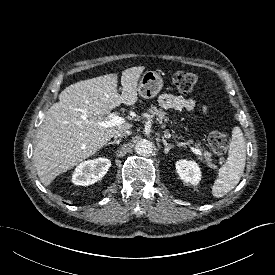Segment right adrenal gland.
<instances>
[{"label": "right adrenal gland", "instance_id": "obj_1", "mask_svg": "<svg viewBox=\"0 0 275 275\" xmlns=\"http://www.w3.org/2000/svg\"><path fill=\"white\" fill-rule=\"evenodd\" d=\"M120 142H121V138L116 139V140L111 141V142H108V143H106L105 145H106V146H107V145H111V144H117V145H119Z\"/></svg>", "mask_w": 275, "mask_h": 275}]
</instances>
